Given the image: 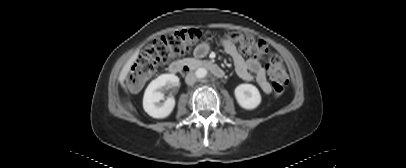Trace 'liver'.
I'll use <instances>...</instances> for the list:
<instances>
[{"instance_id":"liver-1","label":"liver","mask_w":406,"mask_h":168,"mask_svg":"<svg viewBox=\"0 0 406 168\" xmlns=\"http://www.w3.org/2000/svg\"><path fill=\"white\" fill-rule=\"evenodd\" d=\"M137 57H138V53L133 54L130 57V59L126 62V64L123 66V68H122V70L120 72L118 80H119V82H120V84H121V86L123 88H125L124 81H125L128 73H129V71L131 69V66L136 61Z\"/></svg>"}]
</instances>
